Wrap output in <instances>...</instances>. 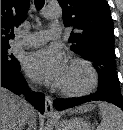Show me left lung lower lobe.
I'll use <instances>...</instances> for the list:
<instances>
[{
    "instance_id": "obj_1",
    "label": "left lung lower lobe",
    "mask_w": 123,
    "mask_h": 130,
    "mask_svg": "<svg viewBox=\"0 0 123 130\" xmlns=\"http://www.w3.org/2000/svg\"><path fill=\"white\" fill-rule=\"evenodd\" d=\"M90 101H105L108 103H112V104L118 106L119 108H121L123 111V101H121L119 98H117L111 94L102 93V92H99L98 90L95 94L88 96V97H84L81 99H75V100L56 99L53 101V103H54L56 110L60 111V110L78 106L80 104L90 102Z\"/></svg>"
}]
</instances>
